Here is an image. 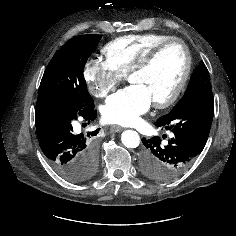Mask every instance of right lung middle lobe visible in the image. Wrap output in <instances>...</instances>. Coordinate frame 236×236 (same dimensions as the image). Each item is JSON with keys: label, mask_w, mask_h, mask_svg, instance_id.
Returning a JSON list of instances; mask_svg holds the SVG:
<instances>
[{"label": "right lung middle lobe", "mask_w": 236, "mask_h": 236, "mask_svg": "<svg viewBox=\"0 0 236 236\" xmlns=\"http://www.w3.org/2000/svg\"><path fill=\"white\" fill-rule=\"evenodd\" d=\"M100 35H80L70 39L53 56L42 77L37 102L48 101L81 110L94 105L87 91L83 69L97 46ZM97 166L94 157L83 166L79 181L90 178Z\"/></svg>", "instance_id": "dd1d6c3e"}]
</instances>
